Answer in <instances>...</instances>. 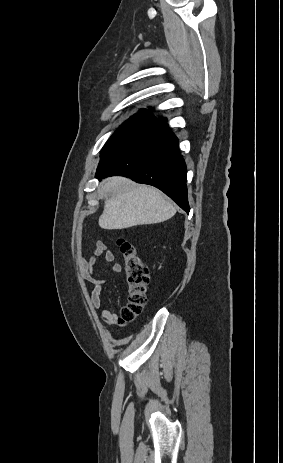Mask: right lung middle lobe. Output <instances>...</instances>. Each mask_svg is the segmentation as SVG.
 <instances>
[{"mask_svg": "<svg viewBox=\"0 0 283 463\" xmlns=\"http://www.w3.org/2000/svg\"><path fill=\"white\" fill-rule=\"evenodd\" d=\"M157 118L151 111L142 109L137 115L124 122L110 137L103 150L122 139L123 137L139 130L154 122Z\"/></svg>", "mask_w": 283, "mask_h": 463, "instance_id": "dd1d6c3e", "label": "right lung middle lobe"}]
</instances>
